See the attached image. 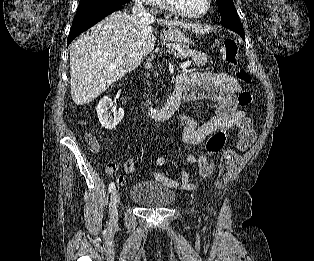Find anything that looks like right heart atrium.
I'll return each mask as SVG.
<instances>
[{
    "mask_svg": "<svg viewBox=\"0 0 314 261\" xmlns=\"http://www.w3.org/2000/svg\"><path fill=\"white\" fill-rule=\"evenodd\" d=\"M136 1H138L141 4L153 7H157L161 3V0H136Z\"/></svg>",
    "mask_w": 314,
    "mask_h": 261,
    "instance_id": "obj_1",
    "label": "right heart atrium"
}]
</instances>
